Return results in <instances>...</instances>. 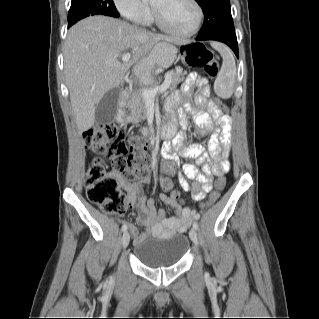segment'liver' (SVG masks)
I'll list each match as a JSON object with an SVG mask.
<instances>
[{"mask_svg":"<svg viewBox=\"0 0 319 319\" xmlns=\"http://www.w3.org/2000/svg\"><path fill=\"white\" fill-rule=\"evenodd\" d=\"M159 41L171 39L105 16L88 17L70 28L64 74L79 132L94 125L96 105L109 90L124 84V75L135 62L152 63V49ZM128 49L132 57L122 64L118 57Z\"/></svg>","mask_w":319,"mask_h":319,"instance_id":"6515ba94","label":"liver"}]
</instances>
